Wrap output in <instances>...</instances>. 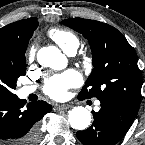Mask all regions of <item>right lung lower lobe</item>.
Segmentation results:
<instances>
[{
	"mask_svg": "<svg viewBox=\"0 0 145 145\" xmlns=\"http://www.w3.org/2000/svg\"><path fill=\"white\" fill-rule=\"evenodd\" d=\"M51 110V105L44 101L25 106L16 95H0V144L37 145L40 120Z\"/></svg>",
	"mask_w": 145,
	"mask_h": 145,
	"instance_id": "obj_1",
	"label": "right lung lower lobe"
}]
</instances>
